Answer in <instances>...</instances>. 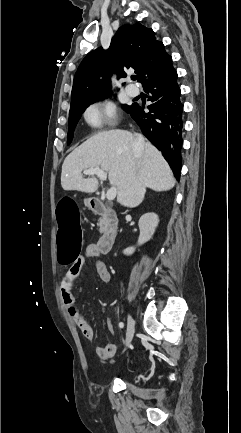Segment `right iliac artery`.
<instances>
[{"label": "right iliac artery", "instance_id": "1", "mask_svg": "<svg viewBox=\"0 0 241 433\" xmlns=\"http://www.w3.org/2000/svg\"><path fill=\"white\" fill-rule=\"evenodd\" d=\"M119 327L120 328H123L124 327V324L121 322V323H119Z\"/></svg>", "mask_w": 241, "mask_h": 433}]
</instances>
